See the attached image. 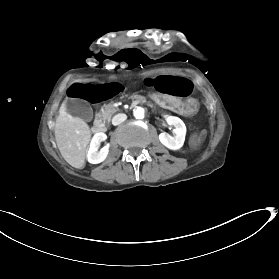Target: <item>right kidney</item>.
I'll return each mask as SVG.
<instances>
[{
    "label": "right kidney",
    "instance_id": "ca27d5eb",
    "mask_svg": "<svg viewBox=\"0 0 279 279\" xmlns=\"http://www.w3.org/2000/svg\"><path fill=\"white\" fill-rule=\"evenodd\" d=\"M107 139V135L103 132L96 133L90 143V147L87 153V160L91 164H98L103 162L109 153V147L105 146L98 152L100 143Z\"/></svg>",
    "mask_w": 279,
    "mask_h": 279
}]
</instances>
